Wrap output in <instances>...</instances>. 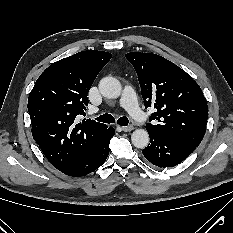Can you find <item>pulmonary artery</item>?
<instances>
[{
  "label": "pulmonary artery",
  "instance_id": "pulmonary-artery-1",
  "mask_svg": "<svg viewBox=\"0 0 233 233\" xmlns=\"http://www.w3.org/2000/svg\"><path fill=\"white\" fill-rule=\"evenodd\" d=\"M119 102L135 120L143 121L148 118V115L139 106L136 93L131 86L124 87Z\"/></svg>",
  "mask_w": 233,
  "mask_h": 233
}]
</instances>
